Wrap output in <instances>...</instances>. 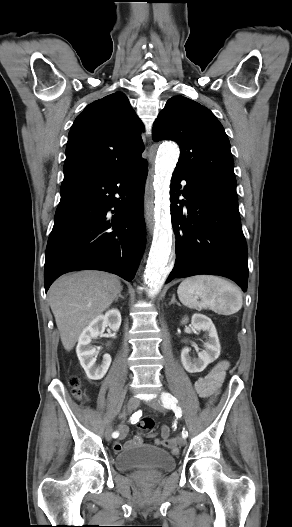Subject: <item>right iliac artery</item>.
I'll list each match as a JSON object with an SVG mask.
<instances>
[{
    "mask_svg": "<svg viewBox=\"0 0 292 527\" xmlns=\"http://www.w3.org/2000/svg\"><path fill=\"white\" fill-rule=\"evenodd\" d=\"M139 417L140 415H134V414H131V417H129V424L132 426V427H135L138 423H139ZM119 436V432L118 431H115L112 433V437L113 438H117Z\"/></svg>",
    "mask_w": 292,
    "mask_h": 527,
    "instance_id": "right-iliac-artery-1",
    "label": "right iliac artery"
}]
</instances>
